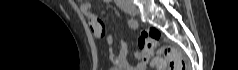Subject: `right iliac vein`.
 <instances>
[{
    "instance_id": "obj_1",
    "label": "right iliac vein",
    "mask_w": 238,
    "mask_h": 70,
    "mask_svg": "<svg viewBox=\"0 0 238 70\" xmlns=\"http://www.w3.org/2000/svg\"><path fill=\"white\" fill-rule=\"evenodd\" d=\"M122 9L131 16H136L138 14V9L132 4H125L122 6Z\"/></svg>"
}]
</instances>
